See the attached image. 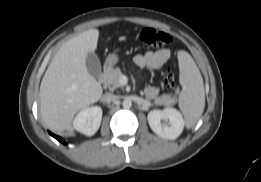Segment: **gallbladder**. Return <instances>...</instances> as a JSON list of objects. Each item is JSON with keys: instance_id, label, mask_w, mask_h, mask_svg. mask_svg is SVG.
Returning a JSON list of instances; mask_svg holds the SVG:
<instances>
[{"instance_id": "bac80fb5", "label": "gallbladder", "mask_w": 261, "mask_h": 182, "mask_svg": "<svg viewBox=\"0 0 261 182\" xmlns=\"http://www.w3.org/2000/svg\"><path fill=\"white\" fill-rule=\"evenodd\" d=\"M86 67L88 73L98 79L101 75V64L95 53H89L86 57Z\"/></svg>"}]
</instances>
